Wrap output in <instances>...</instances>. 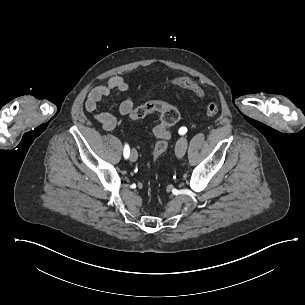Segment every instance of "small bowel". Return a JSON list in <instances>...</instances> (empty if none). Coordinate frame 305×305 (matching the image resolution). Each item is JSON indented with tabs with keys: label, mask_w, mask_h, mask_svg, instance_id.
I'll return each mask as SVG.
<instances>
[{
	"label": "small bowel",
	"mask_w": 305,
	"mask_h": 305,
	"mask_svg": "<svg viewBox=\"0 0 305 305\" xmlns=\"http://www.w3.org/2000/svg\"><path fill=\"white\" fill-rule=\"evenodd\" d=\"M111 93L127 94L129 86L121 76H113L104 84L93 88L86 99L85 108L105 131H112L117 125V119L110 113L99 111V102ZM134 108V100L127 96L119 105L118 112L121 116H128Z\"/></svg>",
	"instance_id": "small-bowel-1"
}]
</instances>
